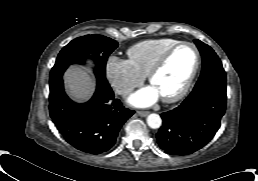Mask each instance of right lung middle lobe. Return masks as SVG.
<instances>
[{
	"label": "right lung middle lobe",
	"instance_id": "right-lung-middle-lobe-1",
	"mask_svg": "<svg viewBox=\"0 0 258 181\" xmlns=\"http://www.w3.org/2000/svg\"><path fill=\"white\" fill-rule=\"evenodd\" d=\"M117 47L115 40L102 35L78 37L61 50L55 64L69 66L83 64L86 59H92L96 65V77L102 78L105 77L107 58Z\"/></svg>",
	"mask_w": 258,
	"mask_h": 181
}]
</instances>
